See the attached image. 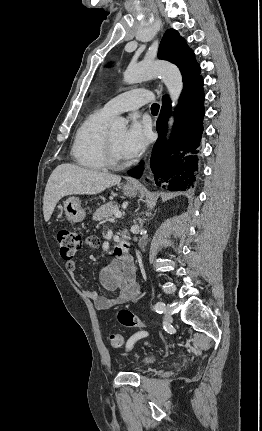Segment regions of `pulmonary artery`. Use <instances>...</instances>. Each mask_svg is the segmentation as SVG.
I'll return each instance as SVG.
<instances>
[{"label": "pulmonary artery", "mask_w": 262, "mask_h": 431, "mask_svg": "<svg viewBox=\"0 0 262 431\" xmlns=\"http://www.w3.org/2000/svg\"><path fill=\"white\" fill-rule=\"evenodd\" d=\"M152 99L153 95L150 91L138 88L115 96L104 105V108L110 114L115 115L136 110Z\"/></svg>", "instance_id": "obj_1"}]
</instances>
